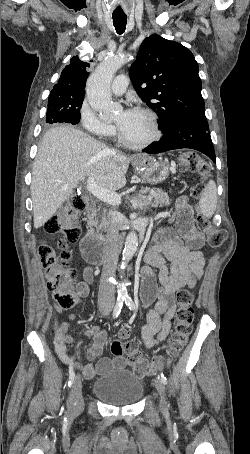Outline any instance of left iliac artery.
<instances>
[{"instance_id": "1", "label": "left iliac artery", "mask_w": 250, "mask_h": 454, "mask_svg": "<svg viewBox=\"0 0 250 454\" xmlns=\"http://www.w3.org/2000/svg\"><path fill=\"white\" fill-rule=\"evenodd\" d=\"M125 304L129 307L130 310L135 311L136 306L131 297L127 296L124 298ZM161 381L163 384H167V379L163 373L160 374Z\"/></svg>"}]
</instances>
